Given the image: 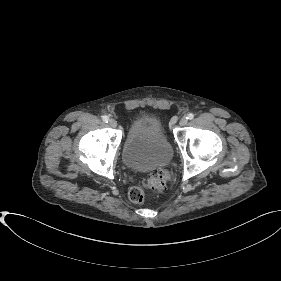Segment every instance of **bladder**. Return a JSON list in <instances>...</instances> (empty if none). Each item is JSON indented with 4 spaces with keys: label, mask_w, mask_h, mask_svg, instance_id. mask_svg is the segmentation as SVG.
Listing matches in <instances>:
<instances>
[{
    "label": "bladder",
    "mask_w": 281,
    "mask_h": 281,
    "mask_svg": "<svg viewBox=\"0 0 281 281\" xmlns=\"http://www.w3.org/2000/svg\"><path fill=\"white\" fill-rule=\"evenodd\" d=\"M172 146L154 116L137 117L131 124L123 150L124 162L137 171H150L168 165Z\"/></svg>",
    "instance_id": "bladder-1"
}]
</instances>
